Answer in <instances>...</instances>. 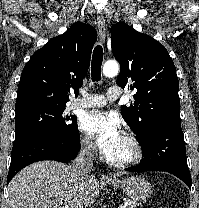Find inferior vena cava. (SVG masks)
<instances>
[{"label":"inferior vena cava","mask_w":199,"mask_h":208,"mask_svg":"<svg viewBox=\"0 0 199 208\" xmlns=\"http://www.w3.org/2000/svg\"><path fill=\"white\" fill-rule=\"evenodd\" d=\"M94 146L92 142H85L78 156L73 161L72 168L79 174H87L93 167Z\"/></svg>","instance_id":"1"}]
</instances>
